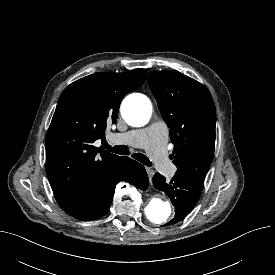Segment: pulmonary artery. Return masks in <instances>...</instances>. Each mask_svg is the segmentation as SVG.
Wrapping results in <instances>:
<instances>
[{
  "mask_svg": "<svg viewBox=\"0 0 275 275\" xmlns=\"http://www.w3.org/2000/svg\"><path fill=\"white\" fill-rule=\"evenodd\" d=\"M115 139L121 143L146 149L155 167L163 174L171 176L175 173L176 167L168 159L165 150L167 131L164 126L153 124L148 128L117 134Z\"/></svg>",
  "mask_w": 275,
  "mask_h": 275,
  "instance_id": "1",
  "label": "pulmonary artery"
}]
</instances>
